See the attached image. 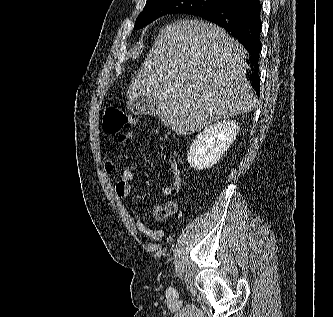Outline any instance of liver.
Returning <instances> with one entry per match:
<instances>
[{
  "instance_id": "liver-1",
  "label": "liver",
  "mask_w": 333,
  "mask_h": 317,
  "mask_svg": "<svg viewBox=\"0 0 333 317\" xmlns=\"http://www.w3.org/2000/svg\"><path fill=\"white\" fill-rule=\"evenodd\" d=\"M245 52L212 23L175 21L159 31L127 98L158 99L159 119L180 135L247 114L256 108L257 97L245 76Z\"/></svg>"
}]
</instances>
